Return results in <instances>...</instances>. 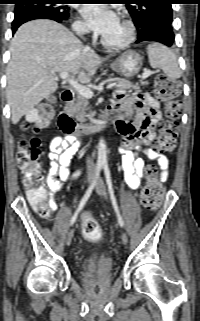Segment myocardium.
Returning a JSON list of instances; mask_svg holds the SVG:
<instances>
[{"instance_id": "myocardium-1", "label": "myocardium", "mask_w": 200, "mask_h": 321, "mask_svg": "<svg viewBox=\"0 0 200 321\" xmlns=\"http://www.w3.org/2000/svg\"><path fill=\"white\" fill-rule=\"evenodd\" d=\"M121 20L127 27L128 36L125 41L117 44L109 43L104 37H101V40H100L101 44L103 45V47H105L108 50H111V51L124 50L128 48L136 38V26L134 22L130 18L124 15L121 16Z\"/></svg>"}]
</instances>
